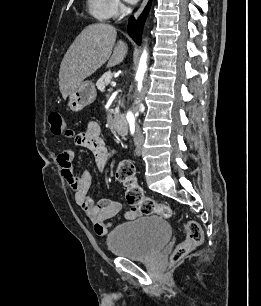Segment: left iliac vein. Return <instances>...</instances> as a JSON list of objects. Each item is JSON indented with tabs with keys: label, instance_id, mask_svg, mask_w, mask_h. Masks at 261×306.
I'll return each instance as SVG.
<instances>
[{
	"label": "left iliac vein",
	"instance_id": "obj_1",
	"mask_svg": "<svg viewBox=\"0 0 261 306\" xmlns=\"http://www.w3.org/2000/svg\"><path fill=\"white\" fill-rule=\"evenodd\" d=\"M142 142H143V140L140 138V137H137L136 139H135V154L137 155V156H140V154H141V151H142Z\"/></svg>",
	"mask_w": 261,
	"mask_h": 306
}]
</instances>
